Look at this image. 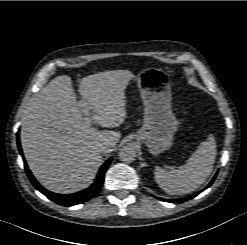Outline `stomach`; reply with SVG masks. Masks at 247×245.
Instances as JSON below:
<instances>
[{"instance_id": "obj_1", "label": "stomach", "mask_w": 247, "mask_h": 245, "mask_svg": "<svg viewBox=\"0 0 247 245\" xmlns=\"http://www.w3.org/2000/svg\"><path fill=\"white\" fill-rule=\"evenodd\" d=\"M144 105L143 126L137 132V140L144 143L149 152L158 155L168 150L178 129V121L171 109V85L169 75L159 68H146L136 77Z\"/></svg>"}]
</instances>
